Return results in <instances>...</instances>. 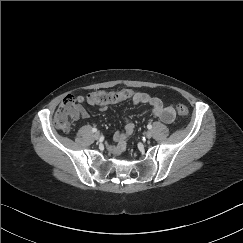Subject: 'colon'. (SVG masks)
Segmentation results:
<instances>
[{"mask_svg": "<svg viewBox=\"0 0 243 243\" xmlns=\"http://www.w3.org/2000/svg\"><path fill=\"white\" fill-rule=\"evenodd\" d=\"M131 95L130 90L124 89L120 91L106 92L98 91L89 96L93 102L98 103H114L123 101ZM80 102L73 96L65 97L60 103L54 122L57 128L63 131H69L76 121L80 113ZM177 112L182 118H187L189 114L188 107L184 104L177 105Z\"/></svg>", "mask_w": 243, "mask_h": 243, "instance_id": "obj_1", "label": "colon"}]
</instances>
